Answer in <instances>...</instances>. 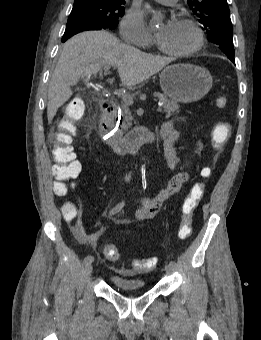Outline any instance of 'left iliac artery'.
<instances>
[{
  "label": "left iliac artery",
  "instance_id": "left-iliac-artery-1",
  "mask_svg": "<svg viewBox=\"0 0 261 340\" xmlns=\"http://www.w3.org/2000/svg\"><path fill=\"white\" fill-rule=\"evenodd\" d=\"M169 265L175 267L176 266V262L174 260H170L169 261Z\"/></svg>",
  "mask_w": 261,
  "mask_h": 340
}]
</instances>
